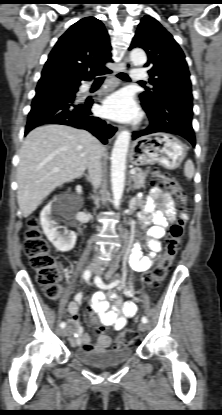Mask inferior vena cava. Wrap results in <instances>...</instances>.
<instances>
[{
	"instance_id": "602c4592",
	"label": "inferior vena cava",
	"mask_w": 222,
	"mask_h": 415,
	"mask_svg": "<svg viewBox=\"0 0 222 415\" xmlns=\"http://www.w3.org/2000/svg\"><path fill=\"white\" fill-rule=\"evenodd\" d=\"M101 153L102 147L98 144L92 150L87 166L90 182L95 190L99 188L102 180Z\"/></svg>"
}]
</instances>
